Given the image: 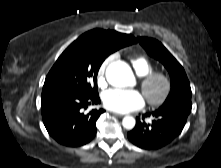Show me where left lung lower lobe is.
Instances as JSON below:
<instances>
[{
    "label": "left lung lower lobe",
    "mask_w": 221,
    "mask_h": 168,
    "mask_svg": "<svg viewBox=\"0 0 221 168\" xmlns=\"http://www.w3.org/2000/svg\"><path fill=\"white\" fill-rule=\"evenodd\" d=\"M191 110L185 108H172L156 110L143 115V120L136 119L133 130L128 132V139L143 149H158L174 140L182 131ZM154 117L152 123L144 121L145 118Z\"/></svg>",
    "instance_id": "0a47b994"
}]
</instances>
